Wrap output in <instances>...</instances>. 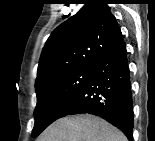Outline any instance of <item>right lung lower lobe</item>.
I'll return each mask as SVG.
<instances>
[{
	"label": "right lung lower lobe",
	"mask_w": 155,
	"mask_h": 141,
	"mask_svg": "<svg viewBox=\"0 0 155 141\" xmlns=\"http://www.w3.org/2000/svg\"><path fill=\"white\" fill-rule=\"evenodd\" d=\"M90 113L98 115L133 138V100L126 45L121 36L101 57L83 88L59 118Z\"/></svg>",
	"instance_id": "right-lung-lower-lobe-1"
}]
</instances>
